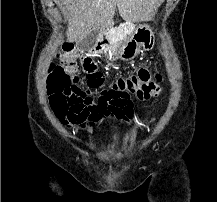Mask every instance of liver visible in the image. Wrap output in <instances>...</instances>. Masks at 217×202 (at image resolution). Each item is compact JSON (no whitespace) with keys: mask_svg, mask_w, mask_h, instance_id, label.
I'll return each instance as SVG.
<instances>
[{"mask_svg":"<svg viewBox=\"0 0 217 202\" xmlns=\"http://www.w3.org/2000/svg\"><path fill=\"white\" fill-rule=\"evenodd\" d=\"M68 20V42L112 28L116 8L125 22H148L164 0H56Z\"/></svg>","mask_w":217,"mask_h":202,"instance_id":"obj_1","label":"liver"}]
</instances>
